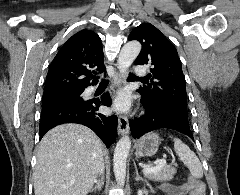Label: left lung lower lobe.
Segmentation results:
<instances>
[{
    "label": "left lung lower lobe",
    "mask_w": 240,
    "mask_h": 195,
    "mask_svg": "<svg viewBox=\"0 0 240 195\" xmlns=\"http://www.w3.org/2000/svg\"><path fill=\"white\" fill-rule=\"evenodd\" d=\"M142 104L145 108V114L129 121L133 138L138 139L152 130L168 128L177 130L193 139L186 111L171 106L151 107L145 103Z\"/></svg>",
    "instance_id": "0a47b994"
}]
</instances>
